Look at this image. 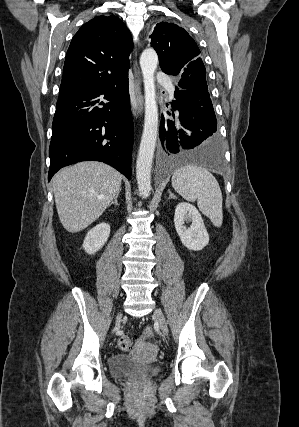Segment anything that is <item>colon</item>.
<instances>
[{
	"mask_svg": "<svg viewBox=\"0 0 299 427\" xmlns=\"http://www.w3.org/2000/svg\"><path fill=\"white\" fill-rule=\"evenodd\" d=\"M118 346L122 351H130L132 349V340L129 336H122L118 341Z\"/></svg>",
	"mask_w": 299,
	"mask_h": 427,
	"instance_id": "obj_1",
	"label": "colon"
}]
</instances>
